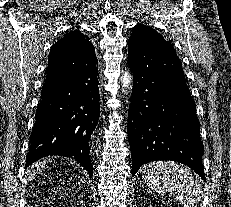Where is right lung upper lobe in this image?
<instances>
[{
  "instance_id": "obj_1",
  "label": "right lung upper lobe",
  "mask_w": 231,
  "mask_h": 207,
  "mask_svg": "<svg viewBox=\"0 0 231 207\" xmlns=\"http://www.w3.org/2000/svg\"><path fill=\"white\" fill-rule=\"evenodd\" d=\"M94 55V47L88 37L81 34L79 30H73L51 47L48 67L72 70L85 65Z\"/></svg>"
}]
</instances>
